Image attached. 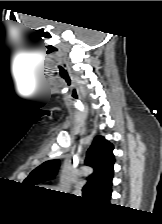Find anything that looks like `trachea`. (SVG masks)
Returning a JSON list of instances; mask_svg holds the SVG:
<instances>
[{"label":"trachea","instance_id":"1","mask_svg":"<svg viewBox=\"0 0 162 224\" xmlns=\"http://www.w3.org/2000/svg\"><path fill=\"white\" fill-rule=\"evenodd\" d=\"M88 189H89V185L88 184H86L84 187H83V193L84 194H86V192L88 191Z\"/></svg>","mask_w":162,"mask_h":224}]
</instances>
